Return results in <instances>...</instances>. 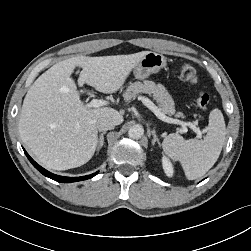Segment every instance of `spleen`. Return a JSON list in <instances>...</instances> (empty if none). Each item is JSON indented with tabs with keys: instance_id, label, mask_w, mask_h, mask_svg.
Instances as JSON below:
<instances>
[{
	"instance_id": "obj_1",
	"label": "spleen",
	"mask_w": 251,
	"mask_h": 251,
	"mask_svg": "<svg viewBox=\"0 0 251 251\" xmlns=\"http://www.w3.org/2000/svg\"><path fill=\"white\" fill-rule=\"evenodd\" d=\"M225 121L221 110L213 109L209 114L206 137L203 140H185L177 133L169 134L162 142L164 153L179 161L187 179H197L215 164L225 141Z\"/></svg>"
}]
</instances>
